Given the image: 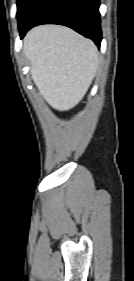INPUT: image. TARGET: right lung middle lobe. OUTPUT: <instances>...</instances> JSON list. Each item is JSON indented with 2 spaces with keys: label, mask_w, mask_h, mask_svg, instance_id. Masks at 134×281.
Wrapping results in <instances>:
<instances>
[{
  "label": "right lung middle lobe",
  "mask_w": 134,
  "mask_h": 281,
  "mask_svg": "<svg viewBox=\"0 0 134 281\" xmlns=\"http://www.w3.org/2000/svg\"><path fill=\"white\" fill-rule=\"evenodd\" d=\"M34 0H17V19L18 25L24 20L29 8L31 7Z\"/></svg>",
  "instance_id": "obj_1"
}]
</instances>
